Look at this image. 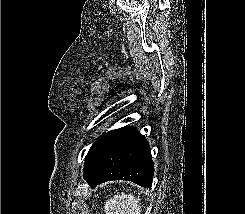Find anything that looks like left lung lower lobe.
<instances>
[{"label":"left lung lower lobe","mask_w":245,"mask_h":214,"mask_svg":"<svg viewBox=\"0 0 245 214\" xmlns=\"http://www.w3.org/2000/svg\"><path fill=\"white\" fill-rule=\"evenodd\" d=\"M153 174L148 141L135 128L122 127L104 133L93 143L85 158L83 177L91 188L112 180L150 188Z\"/></svg>","instance_id":"left-lung-lower-lobe-1"}]
</instances>
